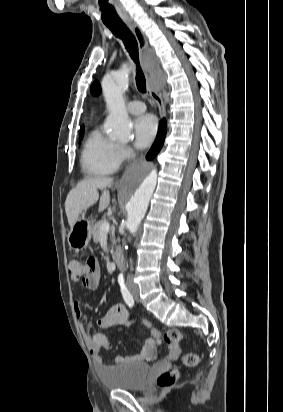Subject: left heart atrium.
Instances as JSON below:
<instances>
[{
	"label": "left heart atrium",
	"instance_id": "left-heart-atrium-1",
	"mask_svg": "<svg viewBox=\"0 0 283 412\" xmlns=\"http://www.w3.org/2000/svg\"><path fill=\"white\" fill-rule=\"evenodd\" d=\"M158 131V123L153 115L146 114L134 122L135 145L138 148L149 146L155 139Z\"/></svg>",
	"mask_w": 283,
	"mask_h": 412
}]
</instances>
